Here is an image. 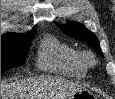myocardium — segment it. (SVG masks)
Instances as JSON below:
<instances>
[{"label":"myocardium","mask_w":115,"mask_h":99,"mask_svg":"<svg viewBox=\"0 0 115 99\" xmlns=\"http://www.w3.org/2000/svg\"><path fill=\"white\" fill-rule=\"evenodd\" d=\"M84 58H85V61H86V63H87L88 65H93L94 62H95L93 55L90 54V53L85 54V55H84Z\"/></svg>","instance_id":"myocardium-1"}]
</instances>
